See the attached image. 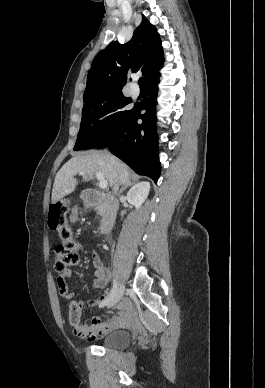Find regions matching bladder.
<instances>
[{"instance_id": "1", "label": "bladder", "mask_w": 265, "mask_h": 388, "mask_svg": "<svg viewBox=\"0 0 265 388\" xmlns=\"http://www.w3.org/2000/svg\"><path fill=\"white\" fill-rule=\"evenodd\" d=\"M131 343V335L128 331H114L107 334L102 339L104 348L117 347L123 348Z\"/></svg>"}]
</instances>
